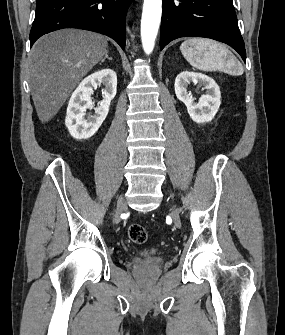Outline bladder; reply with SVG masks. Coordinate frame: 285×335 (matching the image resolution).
Returning a JSON list of instances; mask_svg holds the SVG:
<instances>
[{"label":"bladder","mask_w":285,"mask_h":335,"mask_svg":"<svg viewBox=\"0 0 285 335\" xmlns=\"http://www.w3.org/2000/svg\"><path fill=\"white\" fill-rule=\"evenodd\" d=\"M159 253L156 251V250H144L142 253H141V257L143 258H153L155 256H157Z\"/></svg>","instance_id":"obj_1"}]
</instances>
